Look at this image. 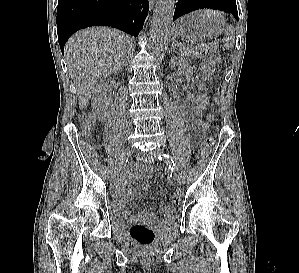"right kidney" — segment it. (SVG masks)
<instances>
[{
    "mask_svg": "<svg viewBox=\"0 0 299 273\" xmlns=\"http://www.w3.org/2000/svg\"><path fill=\"white\" fill-rule=\"evenodd\" d=\"M108 85V79L102 78L95 86L92 96V107L95 110L99 120H103L105 111L112 103L111 99L106 95V87Z\"/></svg>",
    "mask_w": 299,
    "mask_h": 273,
    "instance_id": "obj_1",
    "label": "right kidney"
}]
</instances>
